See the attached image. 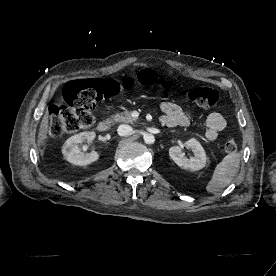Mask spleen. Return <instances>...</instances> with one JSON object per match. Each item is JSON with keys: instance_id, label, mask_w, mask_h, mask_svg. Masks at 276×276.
<instances>
[{"instance_id": "3e777b00", "label": "spleen", "mask_w": 276, "mask_h": 276, "mask_svg": "<svg viewBox=\"0 0 276 276\" xmlns=\"http://www.w3.org/2000/svg\"><path fill=\"white\" fill-rule=\"evenodd\" d=\"M240 158L241 155L235 152L223 158L216 166L212 178L206 186V191L208 193H218L232 182L233 178L238 173Z\"/></svg>"}]
</instances>
